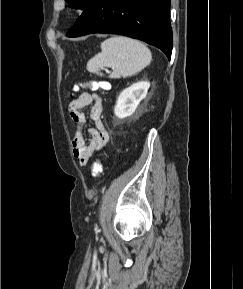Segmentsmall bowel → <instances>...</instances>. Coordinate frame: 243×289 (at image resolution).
<instances>
[{
    "mask_svg": "<svg viewBox=\"0 0 243 289\" xmlns=\"http://www.w3.org/2000/svg\"><path fill=\"white\" fill-rule=\"evenodd\" d=\"M91 106L90 120L94 127L89 129L90 140L86 142L81 126L86 121L83 109ZM103 99L96 92H84L72 100L68 112L71 119L78 125L72 138V152L81 166H85L90 158L104 148L109 140V133L102 121Z\"/></svg>",
    "mask_w": 243,
    "mask_h": 289,
    "instance_id": "obj_1",
    "label": "small bowel"
}]
</instances>
